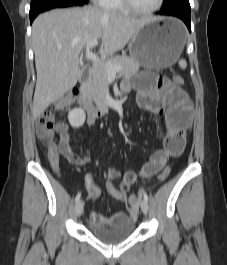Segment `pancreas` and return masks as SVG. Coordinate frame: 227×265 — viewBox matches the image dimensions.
Listing matches in <instances>:
<instances>
[{
  "instance_id": "1",
  "label": "pancreas",
  "mask_w": 227,
  "mask_h": 265,
  "mask_svg": "<svg viewBox=\"0 0 227 265\" xmlns=\"http://www.w3.org/2000/svg\"><path fill=\"white\" fill-rule=\"evenodd\" d=\"M106 64L121 66L122 70L118 73L125 77H130L139 70L138 62L125 55L112 57L102 61L100 64H95L87 84V93L98 106L103 105L105 97L108 94L109 75L105 67Z\"/></svg>"
}]
</instances>
